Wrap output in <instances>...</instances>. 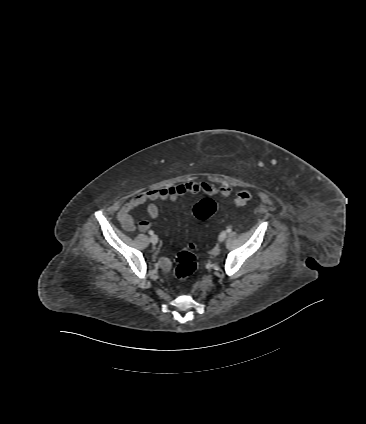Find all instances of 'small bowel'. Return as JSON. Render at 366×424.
Returning a JSON list of instances; mask_svg holds the SVG:
<instances>
[{
  "label": "small bowel",
  "mask_w": 366,
  "mask_h": 424,
  "mask_svg": "<svg viewBox=\"0 0 366 424\" xmlns=\"http://www.w3.org/2000/svg\"><path fill=\"white\" fill-rule=\"evenodd\" d=\"M229 186H216L207 182L188 181L178 185L166 186L157 189L143 191L134 196L130 201L124 204L117 214V219L121 227L127 232L135 230V224L132 217V211L144 204H147L146 212L151 219H155L159 214L158 206L154 201H175L178 197L186 194L202 193L207 196L219 195L221 197H229L231 195ZM151 223L149 221H141L138 225L140 231L149 230ZM171 262L168 258H163L160 261V266L163 270L170 268Z\"/></svg>",
  "instance_id": "obj_1"
}]
</instances>
